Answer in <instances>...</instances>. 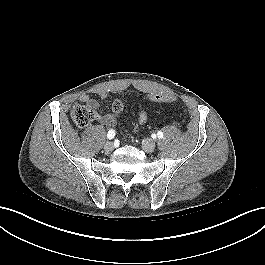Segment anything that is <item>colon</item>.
<instances>
[{
    "instance_id": "5ec220e1",
    "label": "colon",
    "mask_w": 265,
    "mask_h": 265,
    "mask_svg": "<svg viewBox=\"0 0 265 265\" xmlns=\"http://www.w3.org/2000/svg\"><path fill=\"white\" fill-rule=\"evenodd\" d=\"M151 100H160L163 103H172L174 102V99L170 96L164 95V96H158L157 94L150 95ZM125 108V102L122 100H116L112 105V114L113 116H118ZM71 116L74 121V123L78 127H85L88 124H90L95 116V107L91 104H76L72 111Z\"/></svg>"
}]
</instances>
